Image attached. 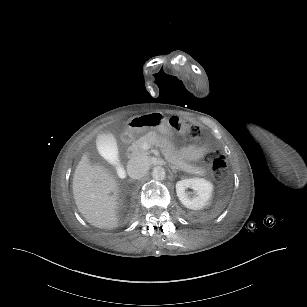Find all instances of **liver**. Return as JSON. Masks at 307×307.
Returning <instances> with one entry per match:
<instances>
[{"label":"liver","instance_id":"liver-1","mask_svg":"<svg viewBox=\"0 0 307 307\" xmlns=\"http://www.w3.org/2000/svg\"><path fill=\"white\" fill-rule=\"evenodd\" d=\"M117 194L114 176L104 166L91 165L88 156L84 154L74 172L73 195L86 221L98 228L117 227Z\"/></svg>","mask_w":307,"mask_h":307}]
</instances>
